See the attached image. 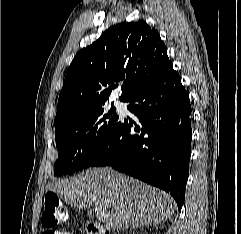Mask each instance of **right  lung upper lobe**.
Returning <instances> with one entry per match:
<instances>
[{
    "label": "right lung upper lobe",
    "instance_id": "right-lung-upper-lobe-1",
    "mask_svg": "<svg viewBox=\"0 0 241 234\" xmlns=\"http://www.w3.org/2000/svg\"><path fill=\"white\" fill-rule=\"evenodd\" d=\"M170 63L159 33L146 22L110 27L70 64L58 99L55 131L105 106L119 82H123L120 100L128 102Z\"/></svg>",
    "mask_w": 241,
    "mask_h": 234
}]
</instances>
